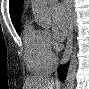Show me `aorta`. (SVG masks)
<instances>
[{"mask_svg":"<svg viewBox=\"0 0 89 89\" xmlns=\"http://www.w3.org/2000/svg\"><path fill=\"white\" fill-rule=\"evenodd\" d=\"M31 5L36 23L44 28H49L51 25V16L47 0H31ZM77 48L76 42L70 47V65L66 78V89H74L75 86V76L78 66Z\"/></svg>","mask_w":89,"mask_h":89,"instance_id":"aorta-1","label":"aorta"}]
</instances>
